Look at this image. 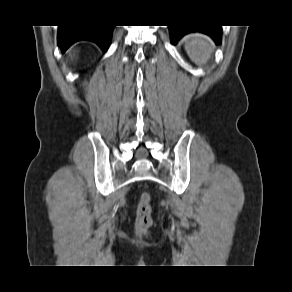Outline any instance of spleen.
I'll list each match as a JSON object with an SVG mask.
<instances>
[{"label": "spleen", "instance_id": "spleen-1", "mask_svg": "<svg viewBox=\"0 0 292 292\" xmlns=\"http://www.w3.org/2000/svg\"><path fill=\"white\" fill-rule=\"evenodd\" d=\"M184 47L190 59L198 66L205 65L213 51L212 40L201 33H191L184 38Z\"/></svg>", "mask_w": 292, "mask_h": 292}]
</instances>
